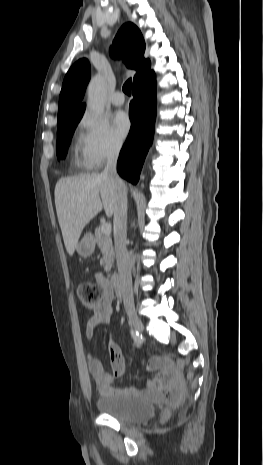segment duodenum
Returning <instances> with one entry per match:
<instances>
[{"instance_id":"410a0bca","label":"duodenum","mask_w":263,"mask_h":465,"mask_svg":"<svg viewBox=\"0 0 263 465\" xmlns=\"http://www.w3.org/2000/svg\"><path fill=\"white\" fill-rule=\"evenodd\" d=\"M110 284L113 287L116 295L118 297H122L123 289H122L121 279L118 274L114 273L111 275Z\"/></svg>"}]
</instances>
